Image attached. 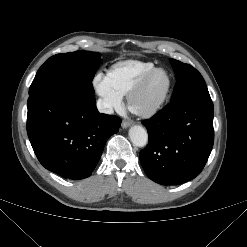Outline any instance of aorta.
Segmentation results:
<instances>
[{"label":"aorta","instance_id":"762f6f07","mask_svg":"<svg viewBox=\"0 0 247 247\" xmlns=\"http://www.w3.org/2000/svg\"><path fill=\"white\" fill-rule=\"evenodd\" d=\"M129 138L132 144L137 147H145L148 143L147 131L139 125H135L130 128Z\"/></svg>","mask_w":247,"mask_h":247}]
</instances>
